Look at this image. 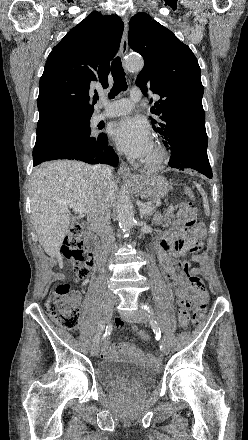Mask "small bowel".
Here are the masks:
<instances>
[{
	"label": "small bowel",
	"instance_id": "obj_1",
	"mask_svg": "<svg viewBox=\"0 0 248 440\" xmlns=\"http://www.w3.org/2000/svg\"><path fill=\"white\" fill-rule=\"evenodd\" d=\"M204 237V227L190 222L186 205H183L177 222L158 241L160 266L168 283L175 288L180 307L176 310V315L179 317L177 324L183 330L190 323L189 309L194 307L196 300L191 278L199 274V268H190L189 262L184 257L195 253L201 247ZM192 261L201 262L202 256L194 254ZM123 325V321H117L115 324L116 328H121ZM133 329L137 330V327L133 326ZM101 355L105 359L125 356L152 366L159 364L157 359L143 355L134 345L129 343L112 345L108 338L104 340Z\"/></svg>",
	"mask_w": 248,
	"mask_h": 440
}]
</instances>
